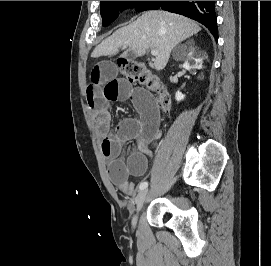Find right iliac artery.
Masks as SVG:
<instances>
[{
    "mask_svg": "<svg viewBox=\"0 0 271 266\" xmlns=\"http://www.w3.org/2000/svg\"><path fill=\"white\" fill-rule=\"evenodd\" d=\"M147 187H148V182H146V181L141 182L140 185H139L140 190H144Z\"/></svg>",
    "mask_w": 271,
    "mask_h": 266,
    "instance_id": "obj_1",
    "label": "right iliac artery"
}]
</instances>
